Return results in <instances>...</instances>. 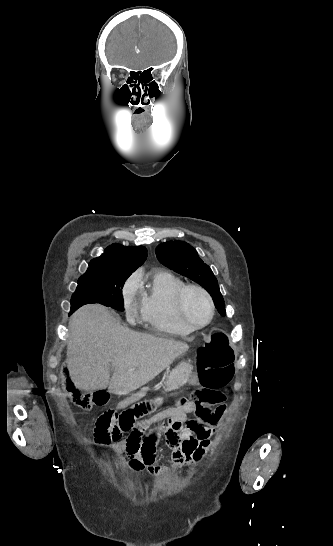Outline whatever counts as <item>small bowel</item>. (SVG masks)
I'll return each instance as SVG.
<instances>
[{
    "mask_svg": "<svg viewBox=\"0 0 333 546\" xmlns=\"http://www.w3.org/2000/svg\"><path fill=\"white\" fill-rule=\"evenodd\" d=\"M185 378L191 387L200 384L196 374H189ZM150 390L148 386H140L139 392L130 393L126 401L116 406V411H124L129 401L137 402L140 396H145L144 393ZM202 396L205 399L196 404L168 408L148 418H130L127 436L113 447L114 453L123 455L120 459L127 461L133 471L146 469L154 477L201 462L210 449L215 425L221 426V416L228 408V401L220 390H205ZM213 405L217 408L212 409ZM190 412L194 413L193 418L189 417ZM165 422L163 435L172 451L169 468L155 463L158 433ZM152 426L156 427L146 433Z\"/></svg>",
    "mask_w": 333,
    "mask_h": 546,
    "instance_id": "1",
    "label": "small bowel"
}]
</instances>
